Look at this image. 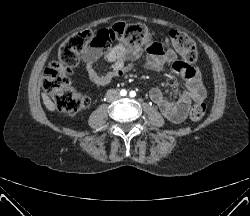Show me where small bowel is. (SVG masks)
Masks as SVG:
<instances>
[{
  "mask_svg": "<svg viewBox=\"0 0 250 216\" xmlns=\"http://www.w3.org/2000/svg\"><path fill=\"white\" fill-rule=\"evenodd\" d=\"M82 59L89 79L99 86L107 85L113 79L123 76L138 61H142L147 69L153 71H163L170 65L173 73L185 79V87L179 92L177 101L167 100L159 88L151 89L149 97L161 113L173 123L182 122L191 104L206 97L198 70L192 64L179 60L176 53L170 49L169 43L163 39L144 43L141 48H131L123 44L106 49L89 47L83 52ZM101 60L111 63L109 71L98 72L95 69Z\"/></svg>",
  "mask_w": 250,
  "mask_h": 216,
  "instance_id": "1",
  "label": "small bowel"
}]
</instances>
